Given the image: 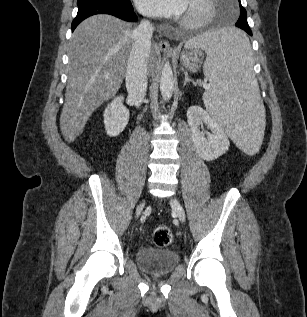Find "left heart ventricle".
<instances>
[{
  "instance_id": "left-heart-ventricle-1",
  "label": "left heart ventricle",
  "mask_w": 307,
  "mask_h": 317,
  "mask_svg": "<svg viewBox=\"0 0 307 317\" xmlns=\"http://www.w3.org/2000/svg\"><path fill=\"white\" fill-rule=\"evenodd\" d=\"M189 11H190V8H189V6H188V8H187V10H186L185 12L187 13V12H189ZM185 15H186V14H185ZM185 15H184V16H185Z\"/></svg>"
}]
</instances>
